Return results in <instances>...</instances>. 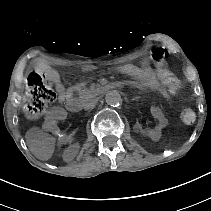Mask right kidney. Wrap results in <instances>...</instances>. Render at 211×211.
I'll return each mask as SVG.
<instances>
[{
    "instance_id": "obj_1",
    "label": "right kidney",
    "mask_w": 211,
    "mask_h": 211,
    "mask_svg": "<svg viewBox=\"0 0 211 211\" xmlns=\"http://www.w3.org/2000/svg\"><path fill=\"white\" fill-rule=\"evenodd\" d=\"M67 118L65 108H53L46 113L44 124L53 133L56 140H62L64 146H71L73 144L74 135L68 132L60 123Z\"/></svg>"
}]
</instances>
